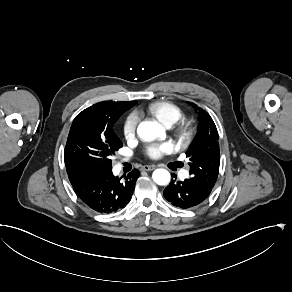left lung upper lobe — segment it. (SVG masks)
<instances>
[{
	"label": "left lung upper lobe",
	"mask_w": 292,
	"mask_h": 292,
	"mask_svg": "<svg viewBox=\"0 0 292 292\" xmlns=\"http://www.w3.org/2000/svg\"><path fill=\"white\" fill-rule=\"evenodd\" d=\"M198 110V131L186 152L189 157L190 180L214 187L220 165V151L218 133L214 121L210 115L196 104L188 102Z\"/></svg>",
	"instance_id": "left-lung-upper-lobe-1"
}]
</instances>
